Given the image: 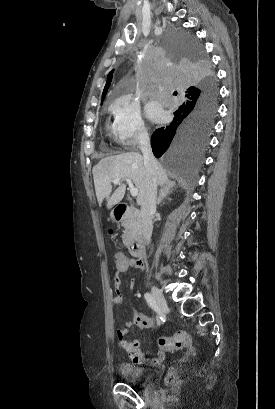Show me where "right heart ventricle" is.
<instances>
[{"instance_id":"obj_1","label":"right heart ventricle","mask_w":275,"mask_h":409,"mask_svg":"<svg viewBox=\"0 0 275 409\" xmlns=\"http://www.w3.org/2000/svg\"><path fill=\"white\" fill-rule=\"evenodd\" d=\"M108 129L111 130L113 133H115V128L108 126Z\"/></svg>"}]
</instances>
